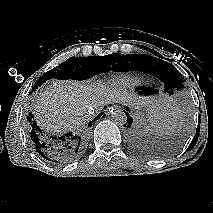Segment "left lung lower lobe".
Returning <instances> with one entry per match:
<instances>
[{
    "label": "left lung lower lobe",
    "mask_w": 213,
    "mask_h": 213,
    "mask_svg": "<svg viewBox=\"0 0 213 213\" xmlns=\"http://www.w3.org/2000/svg\"><path fill=\"white\" fill-rule=\"evenodd\" d=\"M162 82H164L165 89H173V87L167 81ZM143 91L145 94H151L154 92V89L152 87H146ZM125 114L127 116V123L125 124V127L126 125L127 127H130L133 123V119L128 112H125ZM129 141L132 147L142 155L152 158L160 156V151L157 149V147L145 135L138 131L132 132L129 135Z\"/></svg>",
    "instance_id": "1"
}]
</instances>
